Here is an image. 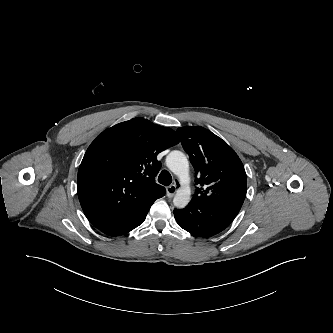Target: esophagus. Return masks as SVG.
Wrapping results in <instances>:
<instances>
[{
	"mask_svg": "<svg viewBox=\"0 0 333 333\" xmlns=\"http://www.w3.org/2000/svg\"><path fill=\"white\" fill-rule=\"evenodd\" d=\"M176 191H177V184L176 182H174V184H172L167 188V196L169 198H172L175 195Z\"/></svg>",
	"mask_w": 333,
	"mask_h": 333,
	"instance_id": "obj_1",
	"label": "esophagus"
}]
</instances>
